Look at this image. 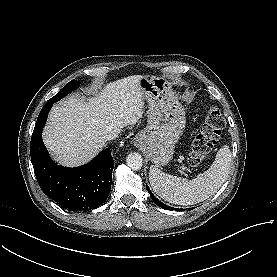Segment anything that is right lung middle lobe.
I'll return each mask as SVG.
<instances>
[{"label": "right lung middle lobe", "mask_w": 277, "mask_h": 277, "mask_svg": "<svg viewBox=\"0 0 277 277\" xmlns=\"http://www.w3.org/2000/svg\"><path fill=\"white\" fill-rule=\"evenodd\" d=\"M79 85V82L76 80L70 81L66 84L54 97H52L47 103H55L62 99L69 92L75 90Z\"/></svg>", "instance_id": "dd1d6c3e"}]
</instances>
